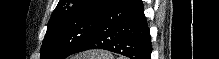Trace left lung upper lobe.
<instances>
[{"mask_svg": "<svg viewBox=\"0 0 219 59\" xmlns=\"http://www.w3.org/2000/svg\"><path fill=\"white\" fill-rule=\"evenodd\" d=\"M113 0H60L48 22L41 59H65L95 32Z\"/></svg>", "mask_w": 219, "mask_h": 59, "instance_id": "obj_1", "label": "left lung upper lobe"}]
</instances>
